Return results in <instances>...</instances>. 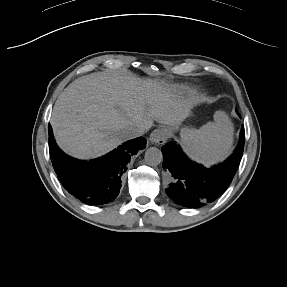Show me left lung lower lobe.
<instances>
[{
    "instance_id": "obj_1",
    "label": "left lung lower lobe",
    "mask_w": 287,
    "mask_h": 287,
    "mask_svg": "<svg viewBox=\"0 0 287 287\" xmlns=\"http://www.w3.org/2000/svg\"><path fill=\"white\" fill-rule=\"evenodd\" d=\"M244 141L243 127L240 142L231 157L212 168L190 161L175 142H168L162 147V166L169 181L166 194L177 204L190 208L214 201L230 185L242 158Z\"/></svg>"
}]
</instances>
